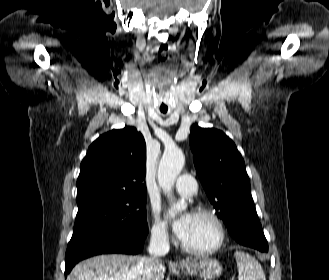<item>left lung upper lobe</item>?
Returning <instances> with one entry per match:
<instances>
[{
	"label": "left lung upper lobe",
	"instance_id": "1",
	"mask_svg": "<svg viewBox=\"0 0 329 280\" xmlns=\"http://www.w3.org/2000/svg\"><path fill=\"white\" fill-rule=\"evenodd\" d=\"M189 142L198 176L217 216L228 231L246 223L254 202L245 163L234 142L220 130L197 125L191 129Z\"/></svg>",
	"mask_w": 329,
	"mask_h": 280
}]
</instances>
